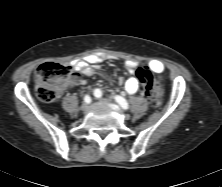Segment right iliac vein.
I'll return each instance as SVG.
<instances>
[{"instance_id": "1", "label": "right iliac vein", "mask_w": 222, "mask_h": 187, "mask_svg": "<svg viewBox=\"0 0 222 187\" xmlns=\"http://www.w3.org/2000/svg\"><path fill=\"white\" fill-rule=\"evenodd\" d=\"M89 105L88 103H83L80 107L81 111H86L88 109Z\"/></svg>"}]
</instances>
